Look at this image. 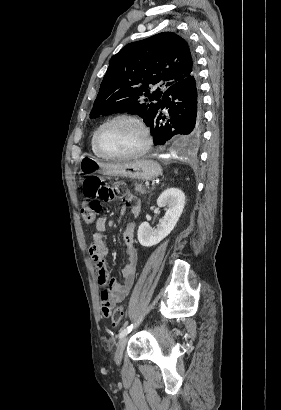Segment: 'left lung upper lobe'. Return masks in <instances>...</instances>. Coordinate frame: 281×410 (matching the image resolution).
<instances>
[{"label":"left lung upper lobe","mask_w":281,"mask_h":410,"mask_svg":"<svg viewBox=\"0 0 281 410\" xmlns=\"http://www.w3.org/2000/svg\"><path fill=\"white\" fill-rule=\"evenodd\" d=\"M195 71L187 42L173 32L132 42L112 56L90 118L131 112L147 123L157 112L164 93L161 88L167 89Z\"/></svg>","instance_id":"obj_1"}]
</instances>
